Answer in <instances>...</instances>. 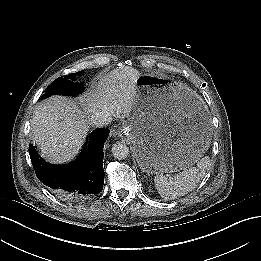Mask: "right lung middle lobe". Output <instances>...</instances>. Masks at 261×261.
<instances>
[{
    "label": "right lung middle lobe",
    "instance_id": "1",
    "mask_svg": "<svg viewBox=\"0 0 261 261\" xmlns=\"http://www.w3.org/2000/svg\"><path fill=\"white\" fill-rule=\"evenodd\" d=\"M80 73L81 72L72 73L63 77H59L47 87L45 94L42 96V98H46L50 95L78 94L83 89V86L81 83L75 82V76L77 74L79 75Z\"/></svg>",
    "mask_w": 261,
    "mask_h": 261
}]
</instances>
